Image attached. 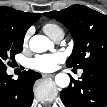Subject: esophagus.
<instances>
[{
    "mask_svg": "<svg viewBox=\"0 0 107 107\" xmlns=\"http://www.w3.org/2000/svg\"><path fill=\"white\" fill-rule=\"evenodd\" d=\"M54 76H55V74H43L44 78H52Z\"/></svg>",
    "mask_w": 107,
    "mask_h": 107,
    "instance_id": "obj_1",
    "label": "esophagus"
}]
</instances>
